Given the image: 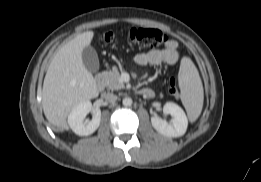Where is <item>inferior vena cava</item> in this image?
I'll use <instances>...</instances> for the list:
<instances>
[{"label": "inferior vena cava", "instance_id": "obj_1", "mask_svg": "<svg viewBox=\"0 0 261 182\" xmlns=\"http://www.w3.org/2000/svg\"><path fill=\"white\" fill-rule=\"evenodd\" d=\"M102 97L109 103H114L117 100V96L113 93H104Z\"/></svg>", "mask_w": 261, "mask_h": 182}]
</instances>
